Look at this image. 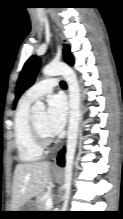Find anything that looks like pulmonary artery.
<instances>
[{
	"label": "pulmonary artery",
	"instance_id": "e3ab8cb5",
	"mask_svg": "<svg viewBox=\"0 0 123 219\" xmlns=\"http://www.w3.org/2000/svg\"><path fill=\"white\" fill-rule=\"evenodd\" d=\"M58 82L55 78H46L32 87H30L23 95V99L26 101L33 102L42 96L52 92V90L57 86Z\"/></svg>",
	"mask_w": 123,
	"mask_h": 219
}]
</instances>
